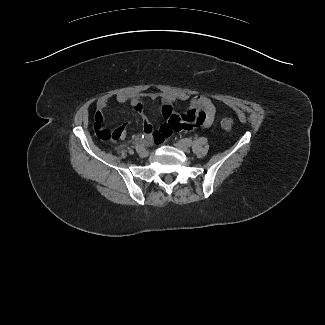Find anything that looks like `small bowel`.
Masks as SVG:
<instances>
[{
  "mask_svg": "<svg viewBox=\"0 0 325 325\" xmlns=\"http://www.w3.org/2000/svg\"><path fill=\"white\" fill-rule=\"evenodd\" d=\"M111 99L118 103H128L141 116L143 131L145 134L153 136L157 141H163L175 131H190L200 128H208L212 125L216 115V105L208 97L204 96H190L187 93H157L152 92L148 94H131L118 93L113 95H104L97 102V110L95 113V122L103 124L105 121L104 110ZM160 101L161 115L166 120V123L161 125L158 130L150 119L146 116L144 111L145 101ZM189 100V109L179 115L174 110L173 105L178 101ZM127 123H123L114 130L121 132L120 138L126 135Z\"/></svg>",
  "mask_w": 325,
  "mask_h": 325,
  "instance_id": "small-bowel-1",
  "label": "small bowel"
}]
</instances>
